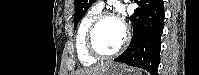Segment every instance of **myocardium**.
<instances>
[{"mask_svg":"<svg viewBox=\"0 0 199 75\" xmlns=\"http://www.w3.org/2000/svg\"><path fill=\"white\" fill-rule=\"evenodd\" d=\"M106 19H116L119 21V18L115 14L110 13V12H101L93 19V21L89 25L85 34L86 49L92 57L98 60L108 59V58H112L118 55L120 52L124 50V48L128 44L129 37H130L129 31L127 30L125 26H123L124 38L122 40V43L114 51L110 53H103L99 51L94 44V35L98 26Z\"/></svg>","mask_w":199,"mask_h":75,"instance_id":"f54148a6","label":"myocardium"}]
</instances>
